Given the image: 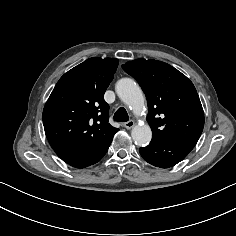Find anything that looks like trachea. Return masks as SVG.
<instances>
[{
    "instance_id": "trachea-1",
    "label": "trachea",
    "mask_w": 236,
    "mask_h": 236,
    "mask_svg": "<svg viewBox=\"0 0 236 236\" xmlns=\"http://www.w3.org/2000/svg\"><path fill=\"white\" fill-rule=\"evenodd\" d=\"M114 121L127 122L129 119L128 113L124 107H120L114 114Z\"/></svg>"
}]
</instances>
